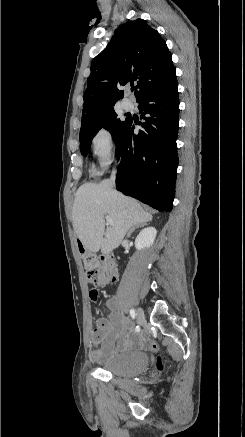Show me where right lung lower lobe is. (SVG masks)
<instances>
[{"mask_svg": "<svg viewBox=\"0 0 245 437\" xmlns=\"http://www.w3.org/2000/svg\"><path fill=\"white\" fill-rule=\"evenodd\" d=\"M177 83L146 94L139 103L143 130L134 134L131 119L116 142L120 159L117 190L159 211L170 212L178 166L179 97Z\"/></svg>", "mask_w": 245, "mask_h": 437, "instance_id": "right-lung-lower-lobe-1", "label": "right lung lower lobe"}]
</instances>
